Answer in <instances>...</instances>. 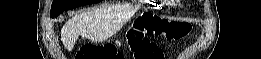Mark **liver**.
Listing matches in <instances>:
<instances>
[{"label": "liver", "instance_id": "1", "mask_svg": "<svg viewBox=\"0 0 261 59\" xmlns=\"http://www.w3.org/2000/svg\"><path fill=\"white\" fill-rule=\"evenodd\" d=\"M126 19L111 7L103 5L69 19L61 29V40L68 51L73 50L80 35L92 41L102 42L116 34Z\"/></svg>", "mask_w": 261, "mask_h": 59}]
</instances>
